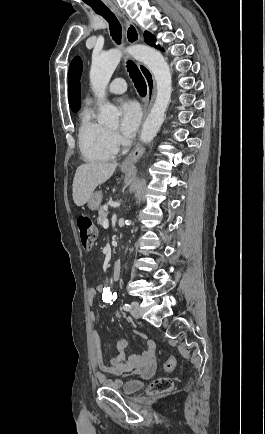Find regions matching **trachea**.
Returning a JSON list of instances; mask_svg holds the SVG:
<instances>
[{
  "instance_id": "3493384b",
  "label": "trachea",
  "mask_w": 265,
  "mask_h": 434,
  "mask_svg": "<svg viewBox=\"0 0 265 434\" xmlns=\"http://www.w3.org/2000/svg\"><path fill=\"white\" fill-rule=\"evenodd\" d=\"M87 5H90V7L96 13L102 15L109 22L110 32H111V36L113 37V40H115V42L117 43H120L122 30H121V25L117 20V18L115 17V15H113V13L110 12V10H108V8L103 3H87ZM127 70L139 94L145 95L147 90V85L139 69L137 68L135 63L132 62L131 60H128L127 62Z\"/></svg>"
}]
</instances>
